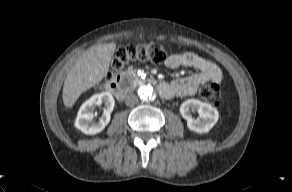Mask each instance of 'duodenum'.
Here are the masks:
<instances>
[{"mask_svg": "<svg viewBox=\"0 0 292 192\" xmlns=\"http://www.w3.org/2000/svg\"><path fill=\"white\" fill-rule=\"evenodd\" d=\"M124 79L121 76L113 78L108 85V89L113 95L121 100L126 94V89L123 85ZM158 90L161 96L165 97L170 94L171 88L170 85L166 82L158 83Z\"/></svg>", "mask_w": 292, "mask_h": 192, "instance_id": "1", "label": "duodenum"}]
</instances>
